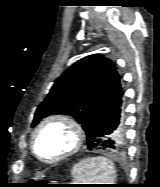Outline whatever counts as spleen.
<instances>
[{
	"label": "spleen",
	"mask_w": 160,
	"mask_h": 187,
	"mask_svg": "<svg viewBox=\"0 0 160 187\" xmlns=\"http://www.w3.org/2000/svg\"><path fill=\"white\" fill-rule=\"evenodd\" d=\"M71 173L75 184H113L116 178L113 162L103 156L81 160Z\"/></svg>",
	"instance_id": "3e777b00"
}]
</instances>
